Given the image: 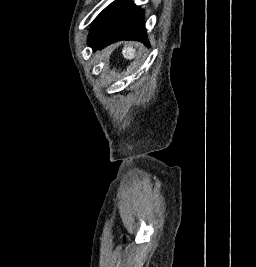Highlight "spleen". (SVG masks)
Returning <instances> with one entry per match:
<instances>
[{"mask_svg": "<svg viewBox=\"0 0 256 267\" xmlns=\"http://www.w3.org/2000/svg\"><path fill=\"white\" fill-rule=\"evenodd\" d=\"M122 54L126 60H133V58H135L136 50L129 46V48H123Z\"/></svg>", "mask_w": 256, "mask_h": 267, "instance_id": "spleen-1", "label": "spleen"}]
</instances>
